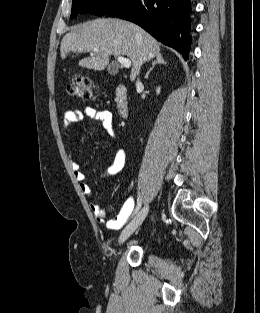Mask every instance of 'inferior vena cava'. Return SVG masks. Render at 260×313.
Returning a JSON list of instances; mask_svg holds the SVG:
<instances>
[{
	"label": "inferior vena cava",
	"instance_id": "602c4592",
	"mask_svg": "<svg viewBox=\"0 0 260 313\" xmlns=\"http://www.w3.org/2000/svg\"><path fill=\"white\" fill-rule=\"evenodd\" d=\"M137 85H139L140 84V82H139V80L137 81V83H136Z\"/></svg>",
	"mask_w": 260,
	"mask_h": 313
}]
</instances>
